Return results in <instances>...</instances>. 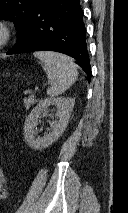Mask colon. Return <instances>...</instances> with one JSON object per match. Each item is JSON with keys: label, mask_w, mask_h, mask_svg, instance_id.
<instances>
[{"label": "colon", "mask_w": 128, "mask_h": 213, "mask_svg": "<svg viewBox=\"0 0 128 213\" xmlns=\"http://www.w3.org/2000/svg\"><path fill=\"white\" fill-rule=\"evenodd\" d=\"M7 197V187L2 168L0 167V200H5Z\"/></svg>", "instance_id": "5ec220e1"}]
</instances>
